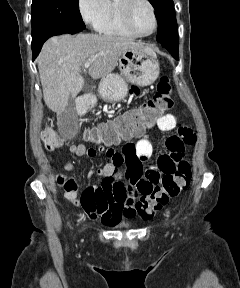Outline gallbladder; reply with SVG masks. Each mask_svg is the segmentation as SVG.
Segmentation results:
<instances>
[{"label": "gallbladder", "instance_id": "gallbladder-1", "mask_svg": "<svg viewBox=\"0 0 240 288\" xmlns=\"http://www.w3.org/2000/svg\"><path fill=\"white\" fill-rule=\"evenodd\" d=\"M76 110L73 100L70 98L67 109L60 115L61 123L67 125L69 121L75 117Z\"/></svg>", "mask_w": 240, "mask_h": 288}]
</instances>
